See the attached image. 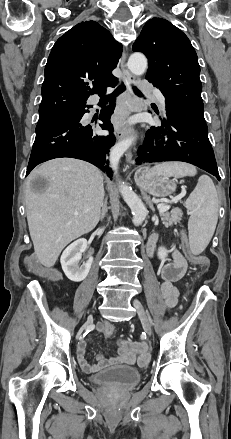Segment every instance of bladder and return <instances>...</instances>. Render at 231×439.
<instances>
[{
    "instance_id": "bladder-1",
    "label": "bladder",
    "mask_w": 231,
    "mask_h": 439,
    "mask_svg": "<svg viewBox=\"0 0 231 439\" xmlns=\"http://www.w3.org/2000/svg\"><path fill=\"white\" fill-rule=\"evenodd\" d=\"M141 379L140 372L128 365H119L90 376L89 380L97 385H112L130 387L137 384Z\"/></svg>"
}]
</instances>
